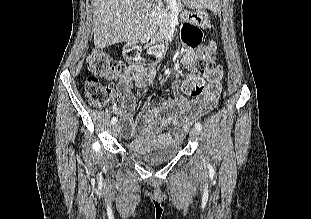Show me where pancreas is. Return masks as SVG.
Here are the masks:
<instances>
[{
    "instance_id": "1",
    "label": "pancreas",
    "mask_w": 311,
    "mask_h": 219,
    "mask_svg": "<svg viewBox=\"0 0 311 219\" xmlns=\"http://www.w3.org/2000/svg\"><path fill=\"white\" fill-rule=\"evenodd\" d=\"M166 1V0H165ZM159 3L158 0H156ZM178 10L182 11L183 5L181 0H176ZM154 10L156 11V15L152 18V20L158 25L162 34L166 35L170 28L171 23V4L166 1V4H160L155 6Z\"/></svg>"
}]
</instances>
